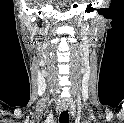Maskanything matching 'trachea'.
I'll use <instances>...</instances> for the list:
<instances>
[{
    "label": "trachea",
    "mask_w": 124,
    "mask_h": 123,
    "mask_svg": "<svg viewBox=\"0 0 124 123\" xmlns=\"http://www.w3.org/2000/svg\"><path fill=\"white\" fill-rule=\"evenodd\" d=\"M59 122L60 123H69V114H68L67 110L61 112L60 117H59Z\"/></svg>",
    "instance_id": "3493384b"
}]
</instances>
